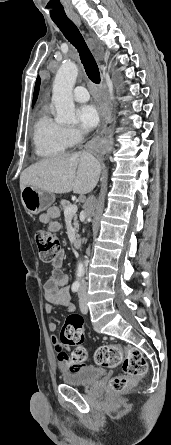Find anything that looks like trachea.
Returning <instances> with one entry per match:
<instances>
[{
  "label": "trachea",
  "mask_w": 171,
  "mask_h": 445,
  "mask_svg": "<svg viewBox=\"0 0 171 445\" xmlns=\"http://www.w3.org/2000/svg\"><path fill=\"white\" fill-rule=\"evenodd\" d=\"M54 23L62 31L66 39L78 50L81 62L89 79L95 83H100V72L98 65L87 47L77 26L70 20H54Z\"/></svg>",
  "instance_id": "obj_1"
}]
</instances>
